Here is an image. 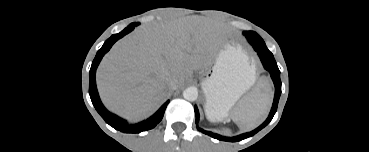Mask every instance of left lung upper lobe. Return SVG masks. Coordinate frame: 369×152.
I'll use <instances>...</instances> for the list:
<instances>
[{
    "instance_id": "5c2ea615",
    "label": "left lung upper lobe",
    "mask_w": 369,
    "mask_h": 152,
    "mask_svg": "<svg viewBox=\"0 0 369 152\" xmlns=\"http://www.w3.org/2000/svg\"><path fill=\"white\" fill-rule=\"evenodd\" d=\"M243 33L248 40L249 39H255V40L262 39L256 32H253V31H245Z\"/></svg>"
}]
</instances>
